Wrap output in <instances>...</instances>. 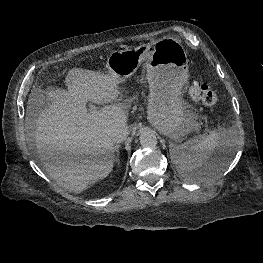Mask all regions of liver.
I'll list each match as a JSON object with an SVG mask.
<instances>
[{
  "mask_svg": "<svg viewBox=\"0 0 263 263\" xmlns=\"http://www.w3.org/2000/svg\"><path fill=\"white\" fill-rule=\"evenodd\" d=\"M65 82L68 90L46 92L50 105L36 118L31 111L35 99H29L26 128L34 129L36 150L49 176L63 189L81 193L112 172L115 147L110 133L127 128L128 114L120 104L87 111L88 100L96 104L117 100L120 90L113 77L75 67Z\"/></svg>",
  "mask_w": 263,
  "mask_h": 263,
  "instance_id": "obj_1",
  "label": "liver"
}]
</instances>
